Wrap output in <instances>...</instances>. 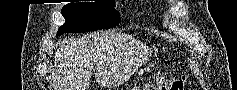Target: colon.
<instances>
[{
	"label": "colon",
	"mask_w": 237,
	"mask_h": 90,
	"mask_svg": "<svg viewBox=\"0 0 237 90\" xmlns=\"http://www.w3.org/2000/svg\"><path fill=\"white\" fill-rule=\"evenodd\" d=\"M185 83V75L179 77H159L151 82L136 84L132 90H180Z\"/></svg>",
	"instance_id": "colon-1"
}]
</instances>
